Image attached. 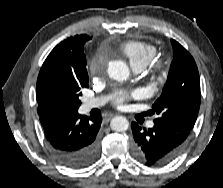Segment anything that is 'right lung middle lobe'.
Returning <instances> with one entry per match:
<instances>
[{
  "instance_id": "dd1d6c3e",
  "label": "right lung middle lobe",
  "mask_w": 223,
  "mask_h": 188,
  "mask_svg": "<svg viewBox=\"0 0 223 188\" xmlns=\"http://www.w3.org/2000/svg\"><path fill=\"white\" fill-rule=\"evenodd\" d=\"M79 68L82 72L81 80L73 81L63 87H56L49 92V100L52 105L61 112L77 111L81 102L79 96L81 88L88 87V74L86 70V57L84 52L79 59Z\"/></svg>"
}]
</instances>
